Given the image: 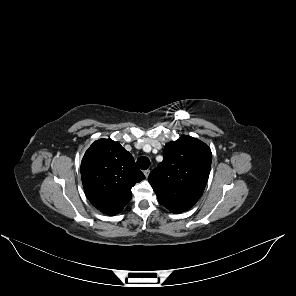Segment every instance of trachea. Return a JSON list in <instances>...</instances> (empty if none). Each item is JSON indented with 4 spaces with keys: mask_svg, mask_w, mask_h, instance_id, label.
Masks as SVG:
<instances>
[{
    "mask_svg": "<svg viewBox=\"0 0 296 296\" xmlns=\"http://www.w3.org/2000/svg\"><path fill=\"white\" fill-rule=\"evenodd\" d=\"M137 166L142 169V170H146L149 168L150 166V160L147 157H139L137 159Z\"/></svg>",
    "mask_w": 296,
    "mask_h": 296,
    "instance_id": "3493384b",
    "label": "trachea"
}]
</instances>
